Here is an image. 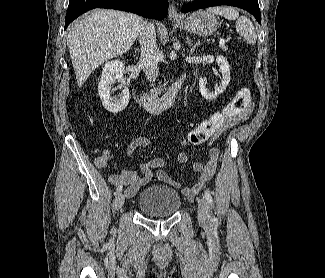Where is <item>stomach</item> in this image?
I'll list each match as a JSON object with an SVG mask.
<instances>
[{
	"instance_id": "obj_1",
	"label": "stomach",
	"mask_w": 325,
	"mask_h": 278,
	"mask_svg": "<svg viewBox=\"0 0 325 278\" xmlns=\"http://www.w3.org/2000/svg\"><path fill=\"white\" fill-rule=\"evenodd\" d=\"M175 24L180 28L197 35H211L218 29V22L214 15L207 11H196Z\"/></svg>"
}]
</instances>
